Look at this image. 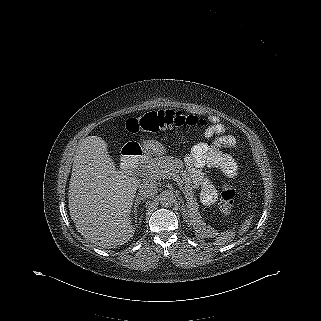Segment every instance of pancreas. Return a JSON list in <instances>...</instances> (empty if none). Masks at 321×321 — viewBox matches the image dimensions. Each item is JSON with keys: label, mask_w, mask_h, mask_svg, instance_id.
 Instances as JSON below:
<instances>
[{"label": "pancreas", "mask_w": 321, "mask_h": 321, "mask_svg": "<svg viewBox=\"0 0 321 321\" xmlns=\"http://www.w3.org/2000/svg\"><path fill=\"white\" fill-rule=\"evenodd\" d=\"M182 166V162L179 159H173V157L170 156H161L151 159L145 166V170L148 175L152 176L154 179H162L172 173H180L185 183L184 191L187 199V208L189 209L192 217L200 218V214L198 212L199 205L193 194L191 177L187 172L181 170Z\"/></svg>", "instance_id": "1"}]
</instances>
